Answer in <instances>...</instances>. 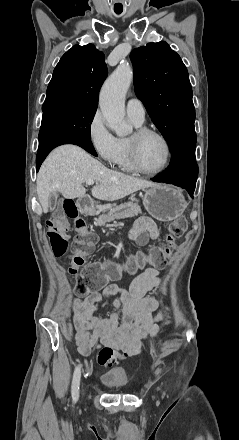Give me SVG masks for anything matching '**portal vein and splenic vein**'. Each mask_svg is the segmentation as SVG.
Segmentation results:
<instances>
[{"mask_svg": "<svg viewBox=\"0 0 239 440\" xmlns=\"http://www.w3.org/2000/svg\"><path fill=\"white\" fill-rule=\"evenodd\" d=\"M87 186H93L94 180H86Z\"/></svg>", "mask_w": 239, "mask_h": 440, "instance_id": "portal-vein-and-splenic-vein-1", "label": "portal vein and splenic vein"}]
</instances>
